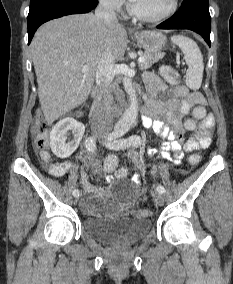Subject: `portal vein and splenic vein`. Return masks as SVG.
Segmentation results:
<instances>
[{"label":"portal vein and splenic vein","instance_id":"obj_1","mask_svg":"<svg viewBox=\"0 0 233 284\" xmlns=\"http://www.w3.org/2000/svg\"><path fill=\"white\" fill-rule=\"evenodd\" d=\"M144 61H145L144 57L141 56L138 58L139 63H143ZM87 71H88V66L87 65L82 66V72H87Z\"/></svg>","mask_w":233,"mask_h":284}]
</instances>
